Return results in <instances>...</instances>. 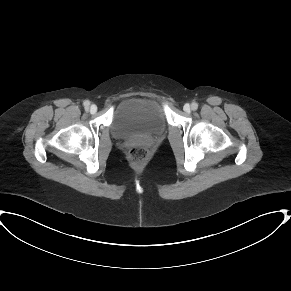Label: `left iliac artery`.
I'll return each instance as SVG.
<instances>
[{
	"mask_svg": "<svg viewBox=\"0 0 291 291\" xmlns=\"http://www.w3.org/2000/svg\"><path fill=\"white\" fill-rule=\"evenodd\" d=\"M192 110H197L198 109V104L196 102H193L191 105Z\"/></svg>",
	"mask_w": 291,
	"mask_h": 291,
	"instance_id": "44dca946",
	"label": "left iliac artery"
}]
</instances>
